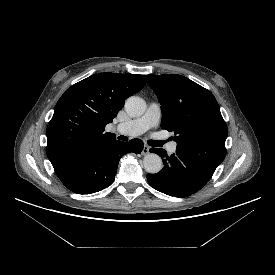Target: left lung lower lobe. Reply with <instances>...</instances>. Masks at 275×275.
I'll use <instances>...</instances> for the list:
<instances>
[{"mask_svg": "<svg viewBox=\"0 0 275 275\" xmlns=\"http://www.w3.org/2000/svg\"><path fill=\"white\" fill-rule=\"evenodd\" d=\"M158 154L164 167L156 174H148L147 180L154 189L174 197H187L199 191L212 177L215 170L196 159L176 151L171 156L162 148H151Z\"/></svg>", "mask_w": 275, "mask_h": 275, "instance_id": "obj_1", "label": "left lung lower lobe"}]
</instances>
